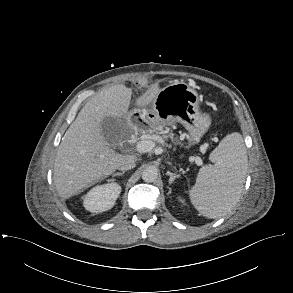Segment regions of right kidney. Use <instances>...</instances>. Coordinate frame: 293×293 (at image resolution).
<instances>
[{
	"label": "right kidney",
	"mask_w": 293,
	"mask_h": 293,
	"mask_svg": "<svg viewBox=\"0 0 293 293\" xmlns=\"http://www.w3.org/2000/svg\"><path fill=\"white\" fill-rule=\"evenodd\" d=\"M121 186L115 182L93 187L85 196L83 205L92 213H100L111 209L119 194Z\"/></svg>",
	"instance_id": "right-kidney-1"
}]
</instances>
